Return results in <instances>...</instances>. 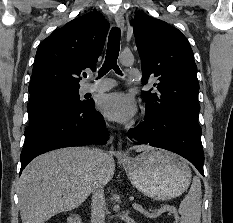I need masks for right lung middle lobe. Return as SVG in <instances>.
<instances>
[{
  "instance_id": "dd1d6c3e",
  "label": "right lung middle lobe",
  "mask_w": 233,
  "mask_h": 223,
  "mask_svg": "<svg viewBox=\"0 0 233 223\" xmlns=\"http://www.w3.org/2000/svg\"><path fill=\"white\" fill-rule=\"evenodd\" d=\"M79 88H52L31 94L28 104L29 125L55 115L83 107L87 100H80Z\"/></svg>"
}]
</instances>
